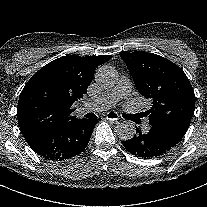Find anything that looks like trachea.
Listing matches in <instances>:
<instances>
[{"label": "trachea", "mask_w": 207, "mask_h": 207, "mask_svg": "<svg viewBox=\"0 0 207 207\" xmlns=\"http://www.w3.org/2000/svg\"><path fill=\"white\" fill-rule=\"evenodd\" d=\"M88 118H95L96 116L95 115H93V114H89L88 116H87Z\"/></svg>", "instance_id": "obj_1"}]
</instances>
